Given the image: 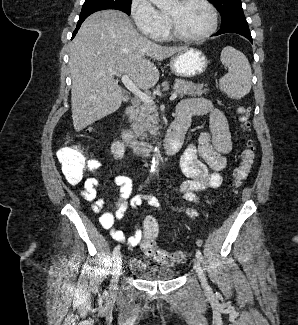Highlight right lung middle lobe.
Wrapping results in <instances>:
<instances>
[{
    "instance_id": "1",
    "label": "right lung middle lobe",
    "mask_w": 298,
    "mask_h": 325,
    "mask_svg": "<svg viewBox=\"0 0 298 325\" xmlns=\"http://www.w3.org/2000/svg\"><path fill=\"white\" fill-rule=\"evenodd\" d=\"M132 0H85L79 20L84 21L90 14L104 10L117 9L130 15Z\"/></svg>"
}]
</instances>
